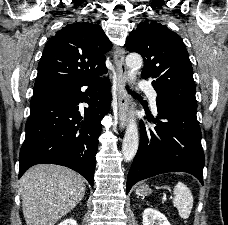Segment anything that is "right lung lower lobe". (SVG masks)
Returning <instances> with one entry per match:
<instances>
[{
  "label": "right lung lower lobe",
  "instance_id": "98d812e1",
  "mask_svg": "<svg viewBox=\"0 0 228 225\" xmlns=\"http://www.w3.org/2000/svg\"><path fill=\"white\" fill-rule=\"evenodd\" d=\"M99 84L97 76L32 97L19 156V178L35 164H58L80 173L93 186L101 120L111 103L110 82L105 81V87L97 92ZM82 86H88L86 93L80 90ZM84 101L89 107L82 115L78 104Z\"/></svg>",
  "mask_w": 228,
  "mask_h": 225
}]
</instances>
